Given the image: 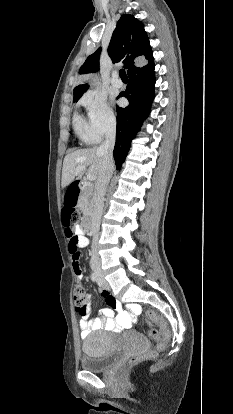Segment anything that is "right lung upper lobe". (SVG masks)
I'll return each mask as SVG.
<instances>
[{"label":"right lung upper lobe","instance_id":"cb5924a9","mask_svg":"<svg viewBox=\"0 0 233 414\" xmlns=\"http://www.w3.org/2000/svg\"><path fill=\"white\" fill-rule=\"evenodd\" d=\"M100 52L99 48L86 59L79 74L98 71ZM108 54L113 63L122 61L125 64L124 67L128 68L129 77L154 66L153 54L144 25L133 15H123L119 19L110 40ZM87 88L88 84L75 87L74 101H78Z\"/></svg>","mask_w":233,"mask_h":414}]
</instances>
